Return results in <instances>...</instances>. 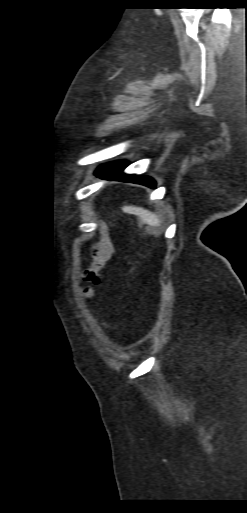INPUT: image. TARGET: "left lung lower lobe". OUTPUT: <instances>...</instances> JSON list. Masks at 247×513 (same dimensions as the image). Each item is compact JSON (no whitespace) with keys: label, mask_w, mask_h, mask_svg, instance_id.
<instances>
[{"label":"left lung lower lobe","mask_w":247,"mask_h":513,"mask_svg":"<svg viewBox=\"0 0 247 513\" xmlns=\"http://www.w3.org/2000/svg\"><path fill=\"white\" fill-rule=\"evenodd\" d=\"M127 166V163L125 162H115V163H109L106 165H103L98 168V170L95 172V174L104 179H114L119 180L123 182H132V183H138L145 186H148L150 188H155V181L146 176H137V175H126L122 173L123 169Z\"/></svg>","instance_id":"left-lung-lower-lobe-1"}]
</instances>
